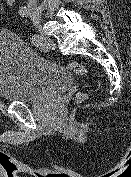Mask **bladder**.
<instances>
[{"instance_id":"1","label":"bladder","mask_w":131,"mask_h":177,"mask_svg":"<svg viewBox=\"0 0 131 177\" xmlns=\"http://www.w3.org/2000/svg\"><path fill=\"white\" fill-rule=\"evenodd\" d=\"M71 72L26 47L13 31L0 32V98L33 103L71 86Z\"/></svg>"}]
</instances>
